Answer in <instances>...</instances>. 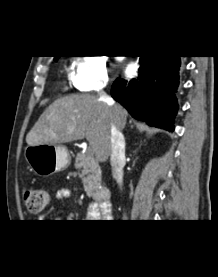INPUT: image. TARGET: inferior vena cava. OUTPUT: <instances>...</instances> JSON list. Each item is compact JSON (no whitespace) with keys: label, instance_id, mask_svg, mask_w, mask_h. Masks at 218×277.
<instances>
[{"label":"inferior vena cava","instance_id":"inferior-vena-cava-1","mask_svg":"<svg viewBox=\"0 0 218 277\" xmlns=\"http://www.w3.org/2000/svg\"><path fill=\"white\" fill-rule=\"evenodd\" d=\"M99 100L105 102L114 112L118 110L114 100L104 90L99 92ZM110 164L113 177L115 178L120 190H122L123 167L125 165V139L115 123H112L111 125ZM123 217L125 218L126 215L124 214Z\"/></svg>","mask_w":218,"mask_h":277}]
</instances>
